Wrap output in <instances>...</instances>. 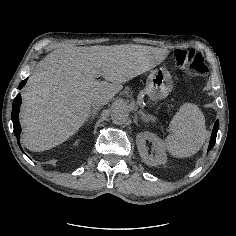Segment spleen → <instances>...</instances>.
I'll return each instance as SVG.
<instances>
[{
  "mask_svg": "<svg viewBox=\"0 0 236 236\" xmlns=\"http://www.w3.org/2000/svg\"><path fill=\"white\" fill-rule=\"evenodd\" d=\"M170 135L166 146L176 157H189L196 154L205 143L207 130L205 117L193 103L183 104L169 124Z\"/></svg>",
  "mask_w": 236,
  "mask_h": 236,
  "instance_id": "obj_1",
  "label": "spleen"
}]
</instances>
